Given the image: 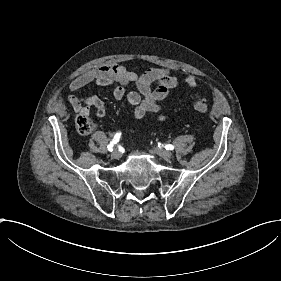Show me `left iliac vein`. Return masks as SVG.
<instances>
[{
    "label": "left iliac vein",
    "mask_w": 281,
    "mask_h": 281,
    "mask_svg": "<svg viewBox=\"0 0 281 281\" xmlns=\"http://www.w3.org/2000/svg\"><path fill=\"white\" fill-rule=\"evenodd\" d=\"M155 151H156V153L160 154V156H162L164 158H169L171 156V153L167 149L161 150V148L158 147V148H156Z\"/></svg>",
    "instance_id": "left-iliac-vein-1"
}]
</instances>
